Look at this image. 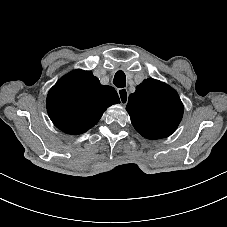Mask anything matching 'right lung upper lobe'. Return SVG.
Segmentation results:
<instances>
[{"label": "right lung upper lobe", "mask_w": 227, "mask_h": 227, "mask_svg": "<svg viewBox=\"0 0 227 227\" xmlns=\"http://www.w3.org/2000/svg\"><path fill=\"white\" fill-rule=\"evenodd\" d=\"M120 103L115 89L101 85L91 71L74 70L49 91L47 111L61 131L77 135L92 128L111 105Z\"/></svg>", "instance_id": "cb5924a9"}]
</instances>
